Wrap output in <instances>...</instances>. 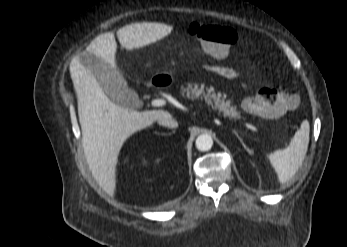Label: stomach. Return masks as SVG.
<instances>
[{
  "instance_id": "0dacf381",
  "label": "stomach",
  "mask_w": 347,
  "mask_h": 247,
  "mask_svg": "<svg viewBox=\"0 0 347 247\" xmlns=\"http://www.w3.org/2000/svg\"><path fill=\"white\" fill-rule=\"evenodd\" d=\"M162 76H164V77L168 76V77L172 78L171 74H162Z\"/></svg>"
}]
</instances>
